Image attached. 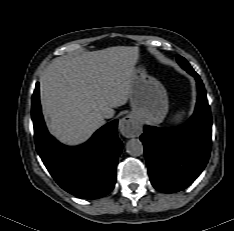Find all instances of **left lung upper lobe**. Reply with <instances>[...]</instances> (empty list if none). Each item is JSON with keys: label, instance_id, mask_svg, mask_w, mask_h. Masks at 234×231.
Listing matches in <instances>:
<instances>
[{"label": "left lung upper lobe", "instance_id": "left-lung-upper-lobe-1", "mask_svg": "<svg viewBox=\"0 0 234 231\" xmlns=\"http://www.w3.org/2000/svg\"><path fill=\"white\" fill-rule=\"evenodd\" d=\"M177 61L180 63H189L184 57L182 56H178L177 57Z\"/></svg>", "mask_w": 234, "mask_h": 231}]
</instances>
